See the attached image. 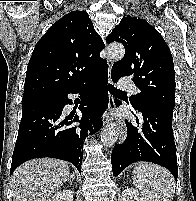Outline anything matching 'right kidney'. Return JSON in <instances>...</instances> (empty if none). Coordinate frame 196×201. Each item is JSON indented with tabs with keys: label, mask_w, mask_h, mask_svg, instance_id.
Instances as JSON below:
<instances>
[{
	"label": "right kidney",
	"mask_w": 196,
	"mask_h": 201,
	"mask_svg": "<svg viewBox=\"0 0 196 201\" xmlns=\"http://www.w3.org/2000/svg\"><path fill=\"white\" fill-rule=\"evenodd\" d=\"M47 201H73V192L71 190L57 192V194Z\"/></svg>",
	"instance_id": "ca27d5eb"
}]
</instances>
